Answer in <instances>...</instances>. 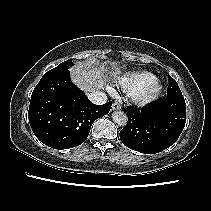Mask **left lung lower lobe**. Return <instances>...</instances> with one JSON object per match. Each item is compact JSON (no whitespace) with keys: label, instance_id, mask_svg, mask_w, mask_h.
<instances>
[{"label":"left lung lower lobe","instance_id":"0a47b994","mask_svg":"<svg viewBox=\"0 0 211 211\" xmlns=\"http://www.w3.org/2000/svg\"><path fill=\"white\" fill-rule=\"evenodd\" d=\"M128 122L120 131L125 146L145 154H154L173 145L186 122L183 95L167 96L137 110L128 107Z\"/></svg>","mask_w":211,"mask_h":211}]
</instances>
